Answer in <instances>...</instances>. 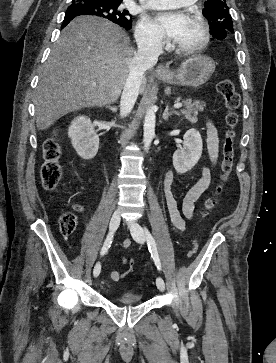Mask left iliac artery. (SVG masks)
Here are the masks:
<instances>
[{"mask_svg": "<svg viewBox=\"0 0 276 363\" xmlns=\"http://www.w3.org/2000/svg\"><path fill=\"white\" fill-rule=\"evenodd\" d=\"M146 233V239L148 244V249L151 253V257L154 260L155 265L160 270L161 269V263L157 252V247L154 238L152 237L151 233L148 231V229L145 228Z\"/></svg>", "mask_w": 276, "mask_h": 363, "instance_id": "1", "label": "left iliac artery"}]
</instances>
